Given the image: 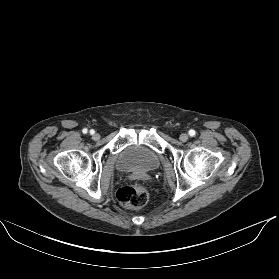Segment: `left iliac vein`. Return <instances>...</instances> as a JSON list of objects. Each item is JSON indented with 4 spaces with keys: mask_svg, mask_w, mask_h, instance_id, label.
I'll list each match as a JSON object with an SVG mask.
<instances>
[{
    "mask_svg": "<svg viewBox=\"0 0 279 279\" xmlns=\"http://www.w3.org/2000/svg\"><path fill=\"white\" fill-rule=\"evenodd\" d=\"M188 134L186 133H182L179 137V139L182 141V142H186L188 140Z\"/></svg>",
    "mask_w": 279,
    "mask_h": 279,
    "instance_id": "left-iliac-vein-1",
    "label": "left iliac vein"
}]
</instances>
